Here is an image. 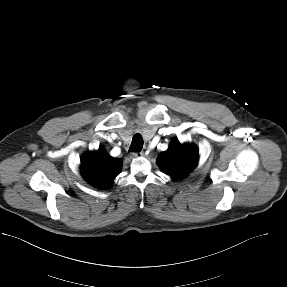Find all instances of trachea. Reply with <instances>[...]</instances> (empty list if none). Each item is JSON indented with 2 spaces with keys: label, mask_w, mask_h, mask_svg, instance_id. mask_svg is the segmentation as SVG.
I'll use <instances>...</instances> for the list:
<instances>
[{
  "label": "trachea",
  "mask_w": 287,
  "mask_h": 287,
  "mask_svg": "<svg viewBox=\"0 0 287 287\" xmlns=\"http://www.w3.org/2000/svg\"><path fill=\"white\" fill-rule=\"evenodd\" d=\"M143 147V138L140 134H136L132 138L131 146H130V151L131 152H140Z\"/></svg>",
  "instance_id": "1"
}]
</instances>
